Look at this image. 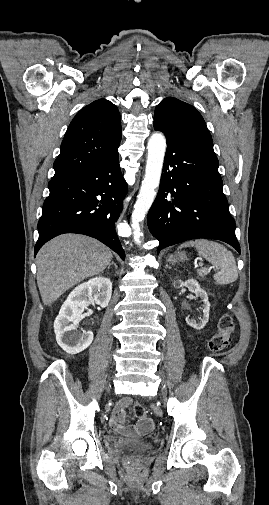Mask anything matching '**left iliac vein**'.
I'll list each match as a JSON object with an SVG mask.
<instances>
[{
	"label": "left iliac vein",
	"instance_id": "4c4485c4",
	"mask_svg": "<svg viewBox=\"0 0 269 505\" xmlns=\"http://www.w3.org/2000/svg\"><path fill=\"white\" fill-rule=\"evenodd\" d=\"M151 410H153L156 414H161L162 409L160 407H156V405H151Z\"/></svg>",
	"mask_w": 269,
	"mask_h": 505
}]
</instances>
